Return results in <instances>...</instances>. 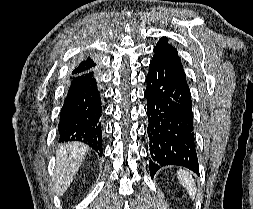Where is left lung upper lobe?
Wrapping results in <instances>:
<instances>
[{
  "instance_id": "5c2ea615",
  "label": "left lung upper lobe",
  "mask_w": 253,
  "mask_h": 209,
  "mask_svg": "<svg viewBox=\"0 0 253 209\" xmlns=\"http://www.w3.org/2000/svg\"><path fill=\"white\" fill-rule=\"evenodd\" d=\"M154 53L155 54L153 56V60L165 62L175 68L180 73L185 84L188 87L184 69L178 56V53L176 49L168 43V39L166 37H162L159 40V42L156 44V47L154 48Z\"/></svg>"
}]
</instances>
